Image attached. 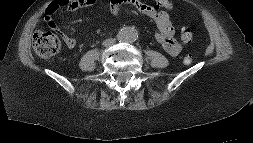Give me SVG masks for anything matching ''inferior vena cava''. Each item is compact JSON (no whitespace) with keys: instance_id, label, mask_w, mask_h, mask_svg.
I'll return each instance as SVG.
<instances>
[{"instance_id":"602c4592","label":"inferior vena cava","mask_w":253,"mask_h":143,"mask_svg":"<svg viewBox=\"0 0 253 143\" xmlns=\"http://www.w3.org/2000/svg\"><path fill=\"white\" fill-rule=\"evenodd\" d=\"M113 43H115V39H107L103 42V45L104 46H110L112 45Z\"/></svg>"}]
</instances>
